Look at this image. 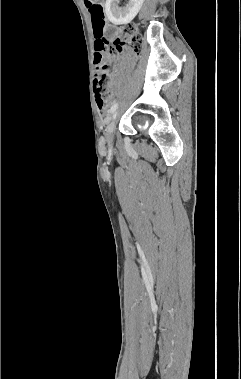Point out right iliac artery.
I'll use <instances>...</instances> for the list:
<instances>
[{"label":"right iliac artery","mask_w":241,"mask_h":379,"mask_svg":"<svg viewBox=\"0 0 241 379\" xmlns=\"http://www.w3.org/2000/svg\"><path fill=\"white\" fill-rule=\"evenodd\" d=\"M116 108H117V103L114 104V105L111 107L110 112L113 113V112L116 110Z\"/></svg>","instance_id":"1"}]
</instances>
